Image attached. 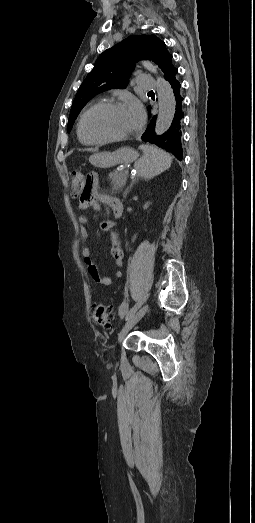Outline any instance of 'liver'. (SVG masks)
<instances>
[{"label": "liver", "instance_id": "1", "mask_svg": "<svg viewBox=\"0 0 255 523\" xmlns=\"http://www.w3.org/2000/svg\"><path fill=\"white\" fill-rule=\"evenodd\" d=\"M113 154H108V152H100V154H93V156H90L89 162H91L92 166H97V168H100L103 162H106V160H111Z\"/></svg>", "mask_w": 255, "mask_h": 523}]
</instances>
